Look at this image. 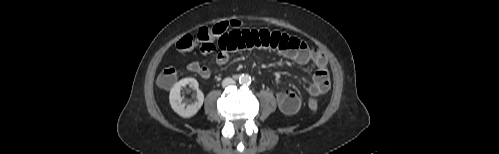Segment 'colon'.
<instances>
[{
    "label": "colon",
    "instance_id": "obj_1",
    "mask_svg": "<svg viewBox=\"0 0 499 154\" xmlns=\"http://www.w3.org/2000/svg\"><path fill=\"white\" fill-rule=\"evenodd\" d=\"M240 28L241 23L238 21L220 22L211 26L202 27L196 34H187L180 38L176 47L180 51H190L199 43L213 41L219 36L225 34L229 28ZM177 80V70L174 67L165 68L158 78V83L164 88H171ZM308 108L312 113H317L319 110L318 101L314 97H310Z\"/></svg>",
    "mask_w": 499,
    "mask_h": 154
}]
</instances>
